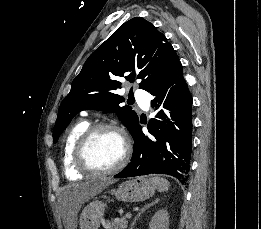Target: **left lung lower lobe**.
I'll return each mask as SVG.
<instances>
[{
	"instance_id": "left-lung-lower-lobe-1",
	"label": "left lung lower lobe",
	"mask_w": 261,
	"mask_h": 229,
	"mask_svg": "<svg viewBox=\"0 0 261 229\" xmlns=\"http://www.w3.org/2000/svg\"><path fill=\"white\" fill-rule=\"evenodd\" d=\"M148 92L157 112L148 124L151 136L136 126L132 137L131 162L115 178L151 173L167 174L182 180L188 177L192 151V98L183 77L181 62L167 72Z\"/></svg>"
}]
</instances>
